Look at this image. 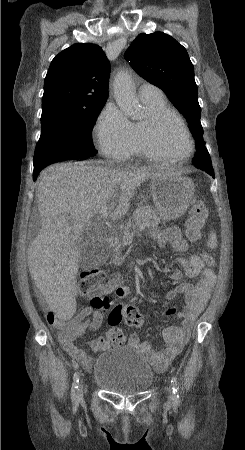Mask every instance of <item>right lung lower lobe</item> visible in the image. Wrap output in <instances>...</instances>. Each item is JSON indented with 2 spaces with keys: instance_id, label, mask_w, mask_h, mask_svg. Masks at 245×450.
Masks as SVG:
<instances>
[{
  "instance_id": "obj_1",
  "label": "right lung lower lobe",
  "mask_w": 245,
  "mask_h": 450,
  "mask_svg": "<svg viewBox=\"0 0 245 450\" xmlns=\"http://www.w3.org/2000/svg\"><path fill=\"white\" fill-rule=\"evenodd\" d=\"M89 157H90V156H79V157H73V158H70V159L83 160V159H86V158H89ZM42 169H43V168H42ZM42 169H34V172H33V180H34V181L37 179L38 174H39V172H40Z\"/></svg>"
}]
</instances>
